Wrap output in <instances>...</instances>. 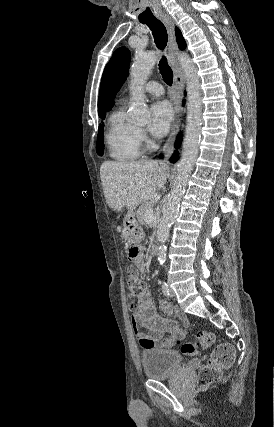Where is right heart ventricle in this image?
<instances>
[{"mask_svg": "<svg viewBox=\"0 0 274 427\" xmlns=\"http://www.w3.org/2000/svg\"><path fill=\"white\" fill-rule=\"evenodd\" d=\"M111 120L112 126L105 138L108 155L120 162L138 160L142 153L138 127L127 119L122 108Z\"/></svg>", "mask_w": 274, "mask_h": 427, "instance_id": "obj_1", "label": "right heart ventricle"}]
</instances>
